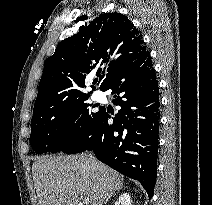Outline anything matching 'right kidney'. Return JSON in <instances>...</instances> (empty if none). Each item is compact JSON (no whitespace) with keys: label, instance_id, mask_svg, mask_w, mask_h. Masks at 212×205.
Instances as JSON below:
<instances>
[{"label":"right kidney","instance_id":"1","mask_svg":"<svg viewBox=\"0 0 212 205\" xmlns=\"http://www.w3.org/2000/svg\"><path fill=\"white\" fill-rule=\"evenodd\" d=\"M115 205H132L130 195L127 193L122 194L115 202Z\"/></svg>","mask_w":212,"mask_h":205}]
</instances>
